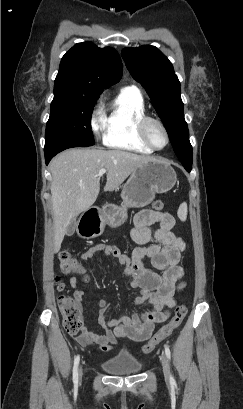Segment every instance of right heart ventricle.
I'll return each instance as SVG.
<instances>
[{
	"label": "right heart ventricle",
	"instance_id": "obj_1",
	"mask_svg": "<svg viewBox=\"0 0 243 409\" xmlns=\"http://www.w3.org/2000/svg\"><path fill=\"white\" fill-rule=\"evenodd\" d=\"M108 111L105 145L144 154L153 152L139 135L138 122L146 115V110L144 99L137 88H123L108 104Z\"/></svg>",
	"mask_w": 243,
	"mask_h": 409
}]
</instances>
